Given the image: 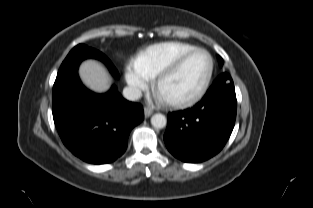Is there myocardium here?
Masks as SVG:
<instances>
[{"label": "myocardium", "mask_w": 313, "mask_h": 208, "mask_svg": "<svg viewBox=\"0 0 313 208\" xmlns=\"http://www.w3.org/2000/svg\"><path fill=\"white\" fill-rule=\"evenodd\" d=\"M196 53L205 54L206 57L208 58V61H209V69H208V72H207V75H206L204 82L202 83L199 90L193 96H191L189 98H185V99H163L167 105L175 107V108L189 107V106H192L195 103H197L199 100H201L202 97L207 92V90L210 86L212 77H213L214 61H213L212 56L209 54V52L206 51L205 49H202V48H195L193 50H190L188 52L183 53L168 68L163 70L156 77V79L154 81V85H153L154 91L158 96H160V94H159L160 88L164 84V82L166 80H168L169 78H171L172 76H174L181 69V67L186 62V60Z\"/></svg>", "instance_id": "f54148a6"}]
</instances>
